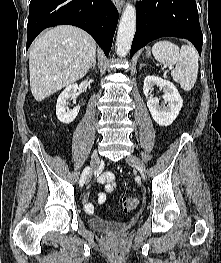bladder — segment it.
<instances>
[{
	"instance_id": "31cf9c89",
	"label": "bladder",
	"mask_w": 221,
	"mask_h": 263,
	"mask_svg": "<svg viewBox=\"0 0 221 263\" xmlns=\"http://www.w3.org/2000/svg\"><path fill=\"white\" fill-rule=\"evenodd\" d=\"M90 228L101 232H122L128 229L129 224L115 220H108L103 218H91L89 220Z\"/></svg>"
}]
</instances>
